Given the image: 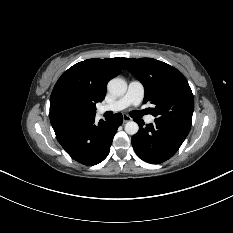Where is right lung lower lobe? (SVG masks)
<instances>
[{
  "label": "right lung lower lobe",
  "mask_w": 233,
  "mask_h": 233,
  "mask_svg": "<svg viewBox=\"0 0 233 233\" xmlns=\"http://www.w3.org/2000/svg\"><path fill=\"white\" fill-rule=\"evenodd\" d=\"M122 114L100 120L95 114L63 119L52 124L56 138L64 150L81 164L92 166L102 162L110 151L113 137L122 124Z\"/></svg>",
  "instance_id": "obj_1"
}]
</instances>
